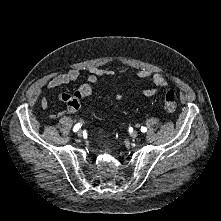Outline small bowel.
I'll use <instances>...</instances> for the list:
<instances>
[{
  "instance_id": "obj_1",
  "label": "small bowel",
  "mask_w": 221,
  "mask_h": 221,
  "mask_svg": "<svg viewBox=\"0 0 221 221\" xmlns=\"http://www.w3.org/2000/svg\"><path fill=\"white\" fill-rule=\"evenodd\" d=\"M128 72V68H121L119 70H113V69H101L98 67H91L89 69V76L87 78L88 84L81 85L77 90H75L72 93H59L57 95V99L67 105V108L69 111L73 112L75 108L72 105V100L76 96L77 92L82 86L95 84L97 83L101 78L103 77H111L114 78L118 75L125 74ZM136 77L139 79H145L151 81L155 88H147L142 90V94L145 97H152L154 96L158 90L162 87H165L167 85L166 78L159 73H155L148 69H142L139 70L136 74ZM80 76V71L78 69H70L67 72L58 74L54 77H52L46 84L47 89H56L60 86L67 85L71 82L76 81ZM123 99L122 94L116 95V100L121 101ZM49 107V101L46 98H43L41 100V108L47 109ZM61 116V112H52L49 117L51 119H56Z\"/></svg>"
}]
</instances>
